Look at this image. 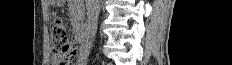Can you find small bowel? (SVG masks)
<instances>
[{
  "label": "small bowel",
  "instance_id": "1",
  "mask_svg": "<svg viewBox=\"0 0 232 65\" xmlns=\"http://www.w3.org/2000/svg\"><path fill=\"white\" fill-rule=\"evenodd\" d=\"M86 56H87V53L83 54V52L80 51L79 58H78V61H77V65H84L85 64Z\"/></svg>",
  "mask_w": 232,
  "mask_h": 65
}]
</instances>
